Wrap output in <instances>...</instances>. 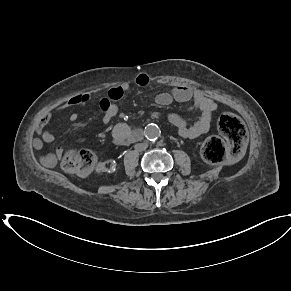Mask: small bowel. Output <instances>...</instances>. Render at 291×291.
<instances>
[{
    "label": "small bowel",
    "instance_id": "c3829d8e",
    "mask_svg": "<svg viewBox=\"0 0 291 291\" xmlns=\"http://www.w3.org/2000/svg\"><path fill=\"white\" fill-rule=\"evenodd\" d=\"M134 82L140 87H146L150 79L144 73H139L135 76ZM129 82H122L119 85L112 87L106 97L100 100V110L102 122L108 125L111 119L118 113L121 102L125 94L130 90ZM91 96L88 93H82L71 97L68 101L62 103L56 108L47 112L38 122L36 126V133L39 136L33 140V145L37 149H41L43 143H53L55 136L46 129V125L61 111L90 101ZM173 101L189 102L191 109H198L201 115L193 124H189L184 118L170 114L169 121L174 124L181 137L183 138H196L200 135L207 133L212 124L213 112L216 110V104L210 98L206 97L200 90L194 89L189 86L180 85L175 87L171 92H160L155 96L156 104L160 106L170 105ZM79 116L77 113H72L69 116L71 122H76ZM132 129L124 122L117 123L112 128V135L115 141L123 142L125 144L131 142ZM64 148L59 146L56 148L54 154L47 155L41 158L45 165H52L54 161L62 158Z\"/></svg>",
    "mask_w": 291,
    "mask_h": 291
}]
</instances>
